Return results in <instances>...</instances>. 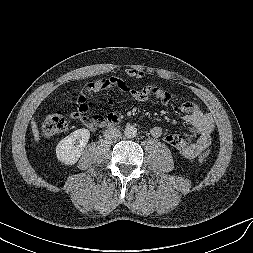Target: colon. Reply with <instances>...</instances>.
<instances>
[{
	"instance_id": "obj_1",
	"label": "colon",
	"mask_w": 253,
	"mask_h": 253,
	"mask_svg": "<svg viewBox=\"0 0 253 253\" xmlns=\"http://www.w3.org/2000/svg\"><path fill=\"white\" fill-rule=\"evenodd\" d=\"M68 128V120L61 113H52L44 117L42 121V134L45 137H52L65 132ZM211 155L210 150H205L199 155V162H205Z\"/></svg>"
}]
</instances>
